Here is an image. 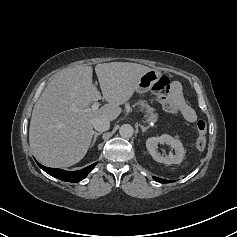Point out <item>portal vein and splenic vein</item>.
Returning a JSON list of instances; mask_svg holds the SVG:
<instances>
[{
	"label": "portal vein and splenic vein",
	"mask_w": 237,
	"mask_h": 237,
	"mask_svg": "<svg viewBox=\"0 0 237 237\" xmlns=\"http://www.w3.org/2000/svg\"><path fill=\"white\" fill-rule=\"evenodd\" d=\"M98 108H99V104L98 103H94V104H92V106H91V108H88V109H84L83 111H96V110H98Z\"/></svg>",
	"instance_id": "obj_1"
}]
</instances>
